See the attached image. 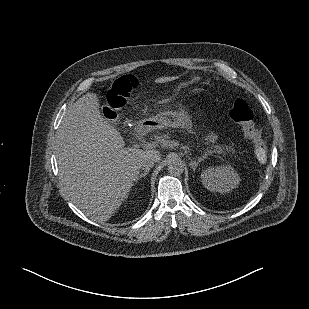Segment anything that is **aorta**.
<instances>
[{"instance_id": "aorta-1", "label": "aorta", "mask_w": 309, "mask_h": 309, "mask_svg": "<svg viewBox=\"0 0 309 309\" xmlns=\"http://www.w3.org/2000/svg\"><path fill=\"white\" fill-rule=\"evenodd\" d=\"M168 172L173 176H180L184 172V163L178 157H172L168 161Z\"/></svg>"}]
</instances>
